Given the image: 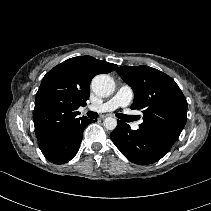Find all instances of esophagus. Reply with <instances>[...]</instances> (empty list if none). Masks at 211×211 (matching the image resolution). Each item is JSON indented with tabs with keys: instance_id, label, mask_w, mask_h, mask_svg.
<instances>
[{
	"instance_id": "34e87169",
	"label": "esophagus",
	"mask_w": 211,
	"mask_h": 211,
	"mask_svg": "<svg viewBox=\"0 0 211 211\" xmlns=\"http://www.w3.org/2000/svg\"><path fill=\"white\" fill-rule=\"evenodd\" d=\"M108 116H109L108 114L102 115V116H101V119H105V118H107Z\"/></svg>"
}]
</instances>
